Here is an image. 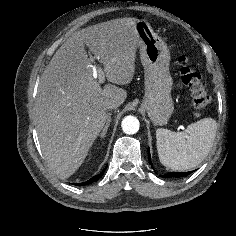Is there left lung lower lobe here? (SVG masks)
Listing matches in <instances>:
<instances>
[{
  "label": "left lung lower lobe",
  "mask_w": 236,
  "mask_h": 236,
  "mask_svg": "<svg viewBox=\"0 0 236 236\" xmlns=\"http://www.w3.org/2000/svg\"><path fill=\"white\" fill-rule=\"evenodd\" d=\"M148 160H149V162H150V164H151V166H153L152 165V163H151V157H150V150L148 149ZM191 172H186V173H184V172H170V173H167V174H165V175H162V177L163 178H177V177H183V176H186V175H189Z\"/></svg>",
  "instance_id": "left-lung-lower-lobe-1"
}]
</instances>
